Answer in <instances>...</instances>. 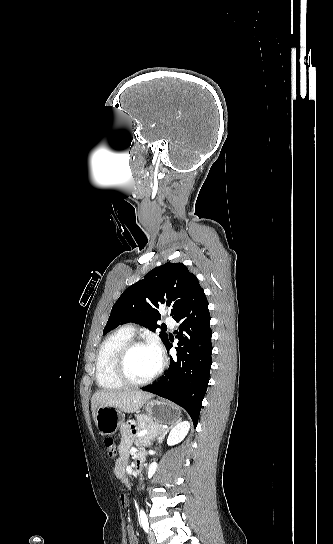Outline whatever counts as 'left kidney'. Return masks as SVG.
I'll list each match as a JSON object with an SVG mask.
<instances>
[{
	"instance_id": "obj_1",
	"label": "left kidney",
	"mask_w": 333,
	"mask_h": 544,
	"mask_svg": "<svg viewBox=\"0 0 333 544\" xmlns=\"http://www.w3.org/2000/svg\"><path fill=\"white\" fill-rule=\"evenodd\" d=\"M190 429V423L188 421L179 422L170 432L167 444L173 446L180 443L187 435Z\"/></svg>"
}]
</instances>
